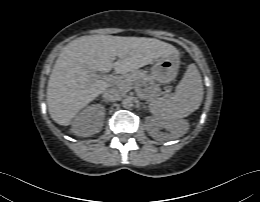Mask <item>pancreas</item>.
I'll return each instance as SVG.
<instances>
[{
    "label": "pancreas",
    "mask_w": 260,
    "mask_h": 202,
    "mask_svg": "<svg viewBox=\"0 0 260 202\" xmlns=\"http://www.w3.org/2000/svg\"><path fill=\"white\" fill-rule=\"evenodd\" d=\"M146 82L152 84V76L144 70H136L123 76L122 78H119L115 83V88H117L121 93H125L133 87H139L142 84L146 85ZM144 91L150 99H153L158 95L159 88L157 86L151 85Z\"/></svg>",
    "instance_id": "1"
}]
</instances>
